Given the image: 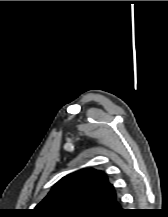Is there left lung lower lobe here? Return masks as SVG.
Returning a JSON list of instances; mask_svg holds the SVG:
<instances>
[{
	"label": "left lung lower lobe",
	"mask_w": 168,
	"mask_h": 217,
	"mask_svg": "<svg viewBox=\"0 0 168 217\" xmlns=\"http://www.w3.org/2000/svg\"><path fill=\"white\" fill-rule=\"evenodd\" d=\"M125 210L121 208V202L117 198L110 208L104 212L100 217H123Z\"/></svg>",
	"instance_id": "0a47b994"
}]
</instances>
